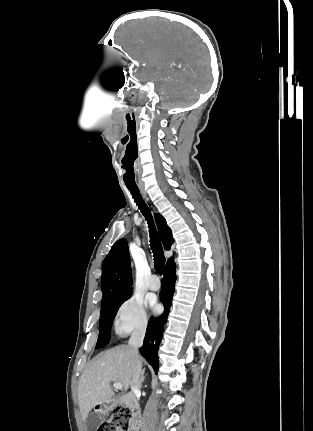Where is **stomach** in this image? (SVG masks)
<instances>
[{
  "instance_id": "1",
  "label": "stomach",
  "mask_w": 313,
  "mask_h": 431,
  "mask_svg": "<svg viewBox=\"0 0 313 431\" xmlns=\"http://www.w3.org/2000/svg\"><path fill=\"white\" fill-rule=\"evenodd\" d=\"M102 407H103V406L100 404V405H99V409H102Z\"/></svg>"
}]
</instances>
